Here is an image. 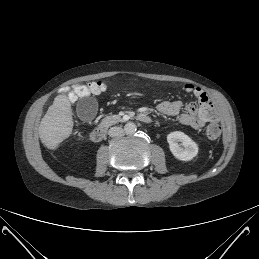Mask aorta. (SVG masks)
Instances as JSON below:
<instances>
[{"instance_id":"1","label":"aorta","mask_w":259,"mask_h":259,"mask_svg":"<svg viewBox=\"0 0 259 259\" xmlns=\"http://www.w3.org/2000/svg\"><path fill=\"white\" fill-rule=\"evenodd\" d=\"M137 130V126L133 122H128L124 126V131L127 135H133Z\"/></svg>"}]
</instances>
